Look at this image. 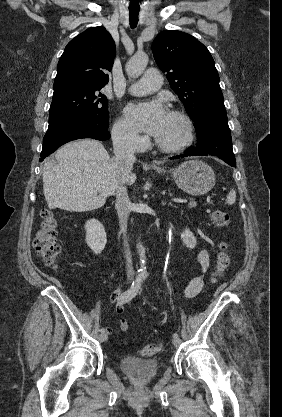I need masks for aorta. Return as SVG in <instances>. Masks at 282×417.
<instances>
[{
	"instance_id": "1",
	"label": "aorta",
	"mask_w": 282,
	"mask_h": 417,
	"mask_svg": "<svg viewBox=\"0 0 282 417\" xmlns=\"http://www.w3.org/2000/svg\"><path fill=\"white\" fill-rule=\"evenodd\" d=\"M147 64L148 54H145V52H142V54H134V56H131L125 64L126 72L128 76H139V74H142L143 70H145ZM136 249L139 255L140 267L138 277L139 279H147V257L145 247H143L141 241H137Z\"/></svg>"
}]
</instances>
